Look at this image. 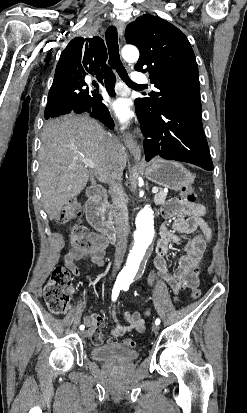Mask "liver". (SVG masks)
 I'll list each match as a JSON object with an SVG mask.
<instances>
[{
    "label": "liver",
    "mask_w": 247,
    "mask_h": 413,
    "mask_svg": "<svg viewBox=\"0 0 247 413\" xmlns=\"http://www.w3.org/2000/svg\"><path fill=\"white\" fill-rule=\"evenodd\" d=\"M38 154V182L48 219H56L63 204L85 188L89 178L108 182L112 166L124 170L127 152L123 144L115 148L108 132L89 116L66 114L43 126ZM83 158L93 160L94 168Z\"/></svg>",
    "instance_id": "liver-1"
}]
</instances>
